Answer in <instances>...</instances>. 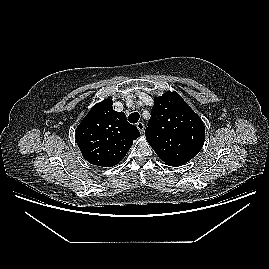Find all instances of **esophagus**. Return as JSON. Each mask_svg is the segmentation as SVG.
Returning a JSON list of instances; mask_svg holds the SVG:
<instances>
[{
    "instance_id": "esophagus-1",
    "label": "esophagus",
    "mask_w": 269,
    "mask_h": 269,
    "mask_svg": "<svg viewBox=\"0 0 269 269\" xmlns=\"http://www.w3.org/2000/svg\"><path fill=\"white\" fill-rule=\"evenodd\" d=\"M136 127L138 128V130L140 131V133H143L144 132L145 125H144L143 122H138L136 124Z\"/></svg>"
}]
</instances>
